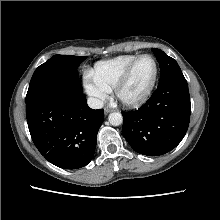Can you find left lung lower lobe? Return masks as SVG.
<instances>
[{
  "label": "left lung lower lobe",
  "instance_id": "1",
  "mask_svg": "<svg viewBox=\"0 0 220 220\" xmlns=\"http://www.w3.org/2000/svg\"><path fill=\"white\" fill-rule=\"evenodd\" d=\"M190 96L184 76L159 84L138 110L122 112V133L138 153L158 156L174 149L183 139L190 121Z\"/></svg>",
  "mask_w": 220,
  "mask_h": 220
}]
</instances>
